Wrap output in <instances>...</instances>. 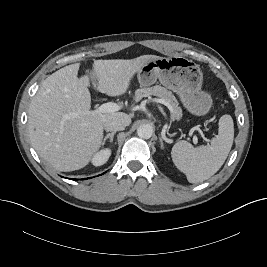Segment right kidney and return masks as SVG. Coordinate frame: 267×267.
Masks as SVG:
<instances>
[{
  "label": "right kidney",
  "mask_w": 267,
  "mask_h": 267,
  "mask_svg": "<svg viewBox=\"0 0 267 267\" xmlns=\"http://www.w3.org/2000/svg\"><path fill=\"white\" fill-rule=\"evenodd\" d=\"M111 155V150L110 149H103L99 152H97L93 158H92V163L94 166H101L105 164L109 157Z\"/></svg>",
  "instance_id": "ca27d5eb"
}]
</instances>
